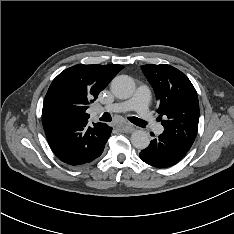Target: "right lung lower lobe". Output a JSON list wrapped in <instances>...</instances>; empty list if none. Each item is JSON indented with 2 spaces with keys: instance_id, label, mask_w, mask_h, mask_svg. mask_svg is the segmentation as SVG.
Instances as JSON below:
<instances>
[{
  "instance_id": "98d812e1",
  "label": "right lung lower lobe",
  "mask_w": 234,
  "mask_h": 234,
  "mask_svg": "<svg viewBox=\"0 0 234 234\" xmlns=\"http://www.w3.org/2000/svg\"><path fill=\"white\" fill-rule=\"evenodd\" d=\"M53 153L64 163L77 166L98 158L110 137L112 127L104 123L88 125V120H74L44 128Z\"/></svg>"
}]
</instances>
